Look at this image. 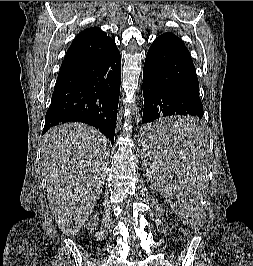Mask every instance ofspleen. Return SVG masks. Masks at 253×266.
<instances>
[{"mask_svg": "<svg viewBox=\"0 0 253 266\" xmlns=\"http://www.w3.org/2000/svg\"><path fill=\"white\" fill-rule=\"evenodd\" d=\"M146 138L140 140L143 169H149L153 187H164L161 199L179 211L185 229H198L202 209L199 199L206 184L208 142L201 141L203 123L195 115L170 113L143 123Z\"/></svg>", "mask_w": 253, "mask_h": 266, "instance_id": "1", "label": "spleen"}]
</instances>
